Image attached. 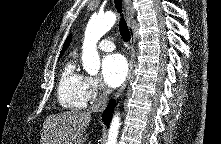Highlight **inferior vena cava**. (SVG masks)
I'll return each mask as SVG.
<instances>
[{
	"mask_svg": "<svg viewBox=\"0 0 221 144\" xmlns=\"http://www.w3.org/2000/svg\"><path fill=\"white\" fill-rule=\"evenodd\" d=\"M111 90L107 87H102V92L99 93V96L96 101L91 105L88 109V112H103L107 107L108 95L110 94Z\"/></svg>",
	"mask_w": 221,
	"mask_h": 144,
	"instance_id": "inferior-vena-cava-1",
	"label": "inferior vena cava"
}]
</instances>
